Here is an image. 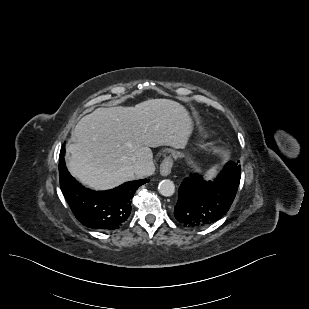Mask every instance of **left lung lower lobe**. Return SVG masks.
I'll return each instance as SVG.
<instances>
[{"mask_svg":"<svg viewBox=\"0 0 309 309\" xmlns=\"http://www.w3.org/2000/svg\"><path fill=\"white\" fill-rule=\"evenodd\" d=\"M241 166L228 162L214 181H205L198 174L185 178L178 190L175 218L184 226L202 228L222 218L236 196Z\"/></svg>","mask_w":309,"mask_h":309,"instance_id":"0a47b994","label":"left lung lower lobe"}]
</instances>
